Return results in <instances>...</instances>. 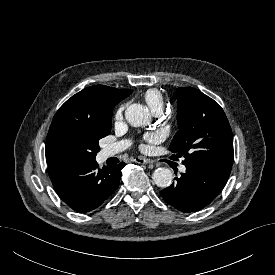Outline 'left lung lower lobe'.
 <instances>
[{"mask_svg":"<svg viewBox=\"0 0 275 275\" xmlns=\"http://www.w3.org/2000/svg\"><path fill=\"white\" fill-rule=\"evenodd\" d=\"M176 182L160 192L176 209L189 213L209 205L224 188L231 170L210 165H185Z\"/></svg>","mask_w":275,"mask_h":275,"instance_id":"1","label":"left lung lower lobe"}]
</instances>
